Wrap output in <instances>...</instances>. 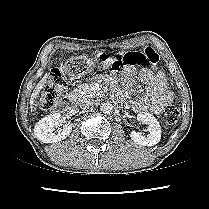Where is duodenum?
I'll return each instance as SVG.
<instances>
[{
  "label": "duodenum",
  "mask_w": 209,
  "mask_h": 209,
  "mask_svg": "<svg viewBox=\"0 0 209 209\" xmlns=\"http://www.w3.org/2000/svg\"><path fill=\"white\" fill-rule=\"evenodd\" d=\"M75 102H76V95L75 94H68L63 99V103L67 107H70V108L74 107Z\"/></svg>",
  "instance_id": "410a0bca"
}]
</instances>
